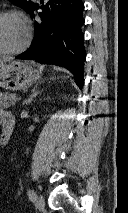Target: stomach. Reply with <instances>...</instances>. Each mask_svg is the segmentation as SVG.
<instances>
[{"instance_id":"0dacf381","label":"stomach","mask_w":128,"mask_h":213,"mask_svg":"<svg viewBox=\"0 0 128 213\" xmlns=\"http://www.w3.org/2000/svg\"><path fill=\"white\" fill-rule=\"evenodd\" d=\"M39 79L38 71L27 62L15 61L0 64V87L21 90Z\"/></svg>"}]
</instances>
